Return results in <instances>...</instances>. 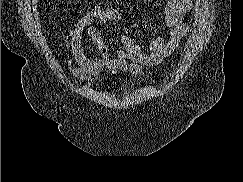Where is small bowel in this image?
<instances>
[{
    "label": "small bowel",
    "mask_w": 243,
    "mask_h": 182,
    "mask_svg": "<svg viewBox=\"0 0 243 182\" xmlns=\"http://www.w3.org/2000/svg\"><path fill=\"white\" fill-rule=\"evenodd\" d=\"M192 0H167L161 23L168 29L163 37L150 39L146 43L149 53L129 35L120 37L121 47L113 50L101 38L95 23L105 24L121 18V13L111 8L92 7L76 24L68 37L71 53L69 68L81 80L97 81L106 71L110 75L119 72L138 74L144 67H153L170 57L179 42L189 32L188 18L192 14Z\"/></svg>",
    "instance_id": "1"
}]
</instances>
